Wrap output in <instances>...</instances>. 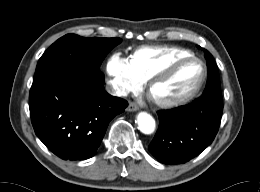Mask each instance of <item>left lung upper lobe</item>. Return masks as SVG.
<instances>
[{"label":"left lung upper lobe","mask_w":260,"mask_h":192,"mask_svg":"<svg viewBox=\"0 0 260 192\" xmlns=\"http://www.w3.org/2000/svg\"><path fill=\"white\" fill-rule=\"evenodd\" d=\"M205 56L207 58V66L209 69V71H208L209 79H208L204 94H207V93L221 94L220 80H219V73H218L217 65L214 61L213 56L208 51H206Z\"/></svg>","instance_id":"5c2ea615"}]
</instances>
